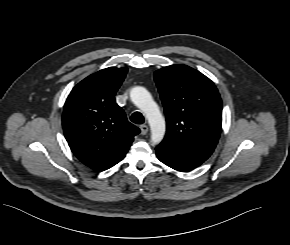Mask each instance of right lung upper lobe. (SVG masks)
<instances>
[{"mask_svg": "<svg viewBox=\"0 0 290 245\" xmlns=\"http://www.w3.org/2000/svg\"><path fill=\"white\" fill-rule=\"evenodd\" d=\"M127 68H106L77 84L63 110V130L74 155L96 171L120 162L140 130L131 124L114 95Z\"/></svg>", "mask_w": 290, "mask_h": 245, "instance_id": "cb5924a9", "label": "right lung upper lobe"}]
</instances>
